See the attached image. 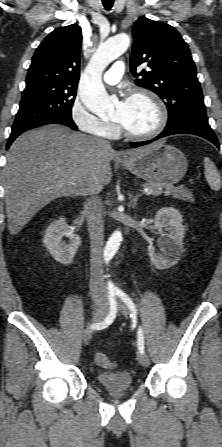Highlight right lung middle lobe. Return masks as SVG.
I'll use <instances>...</instances> for the list:
<instances>
[{
  "label": "right lung middle lobe",
  "mask_w": 222,
  "mask_h": 447,
  "mask_svg": "<svg viewBox=\"0 0 222 447\" xmlns=\"http://www.w3.org/2000/svg\"><path fill=\"white\" fill-rule=\"evenodd\" d=\"M75 86L43 85L25 88L12 131L55 117L71 118Z\"/></svg>",
  "instance_id": "right-lung-middle-lobe-1"
}]
</instances>
